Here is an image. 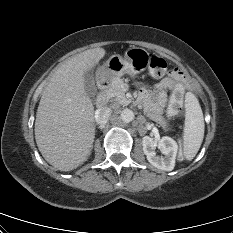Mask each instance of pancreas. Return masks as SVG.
Segmentation results:
<instances>
[{
  "mask_svg": "<svg viewBox=\"0 0 233 233\" xmlns=\"http://www.w3.org/2000/svg\"><path fill=\"white\" fill-rule=\"evenodd\" d=\"M123 85H124L123 80L116 79L113 82L112 86L108 89L107 94L110 97H114V100L118 104L126 106L131 102V100L126 98Z\"/></svg>",
  "mask_w": 233,
  "mask_h": 233,
  "instance_id": "obj_1",
  "label": "pancreas"
}]
</instances>
